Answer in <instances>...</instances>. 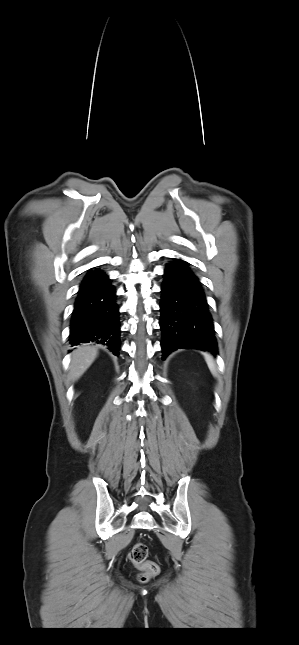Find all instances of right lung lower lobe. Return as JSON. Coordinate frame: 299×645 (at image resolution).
<instances>
[{
  "label": "right lung lower lobe",
  "instance_id": "obj_1",
  "mask_svg": "<svg viewBox=\"0 0 299 645\" xmlns=\"http://www.w3.org/2000/svg\"><path fill=\"white\" fill-rule=\"evenodd\" d=\"M116 290L100 269L84 276L74 304L70 325V344L96 343L119 355L120 322Z\"/></svg>",
  "mask_w": 299,
  "mask_h": 645
}]
</instances>
